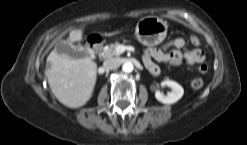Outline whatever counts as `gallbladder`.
Here are the masks:
<instances>
[{"instance_id":"1","label":"gallbladder","mask_w":247,"mask_h":145,"mask_svg":"<svg viewBox=\"0 0 247 145\" xmlns=\"http://www.w3.org/2000/svg\"><path fill=\"white\" fill-rule=\"evenodd\" d=\"M55 51L58 54H66L70 58L77 59V58H84L88 55L87 50L83 47H76L66 41H59L55 45Z\"/></svg>"}]
</instances>
